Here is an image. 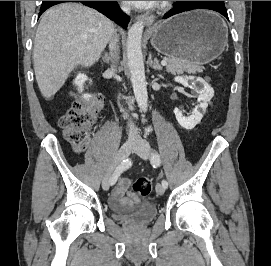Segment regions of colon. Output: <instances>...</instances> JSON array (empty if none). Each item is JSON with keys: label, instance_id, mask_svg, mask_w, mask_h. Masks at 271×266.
Listing matches in <instances>:
<instances>
[{"label": "colon", "instance_id": "obj_1", "mask_svg": "<svg viewBox=\"0 0 271 266\" xmlns=\"http://www.w3.org/2000/svg\"><path fill=\"white\" fill-rule=\"evenodd\" d=\"M103 104L100 94H94L86 100L82 95L74 101L68 112L61 117L60 126L64 138L77 152H82L89 143V127L95 122L97 113ZM133 190L143 197L152 191V183L146 177H140L133 183Z\"/></svg>", "mask_w": 271, "mask_h": 266}]
</instances>
